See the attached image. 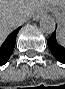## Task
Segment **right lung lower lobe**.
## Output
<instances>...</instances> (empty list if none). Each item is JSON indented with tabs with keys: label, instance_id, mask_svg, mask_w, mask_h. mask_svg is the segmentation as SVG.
I'll list each match as a JSON object with an SVG mask.
<instances>
[{
	"label": "right lung lower lobe",
	"instance_id": "1",
	"mask_svg": "<svg viewBox=\"0 0 65 89\" xmlns=\"http://www.w3.org/2000/svg\"><path fill=\"white\" fill-rule=\"evenodd\" d=\"M20 28L13 31L4 41V43L0 47V66L4 65L10 58L15 44H16V36Z\"/></svg>",
	"mask_w": 65,
	"mask_h": 89
}]
</instances>
